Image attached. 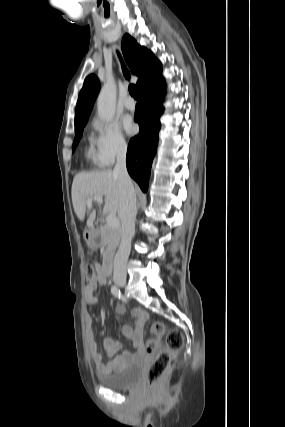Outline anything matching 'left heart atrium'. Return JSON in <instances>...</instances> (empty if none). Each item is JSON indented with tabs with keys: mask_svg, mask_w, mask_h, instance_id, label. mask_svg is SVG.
Listing matches in <instances>:
<instances>
[{
	"mask_svg": "<svg viewBox=\"0 0 285 427\" xmlns=\"http://www.w3.org/2000/svg\"><path fill=\"white\" fill-rule=\"evenodd\" d=\"M124 129L127 134L132 135L136 131V126L130 118H126L123 122Z\"/></svg>",
	"mask_w": 285,
	"mask_h": 427,
	"instance_id": "obj_1",
	"label": "left heart atrium"
}]
</instances>
